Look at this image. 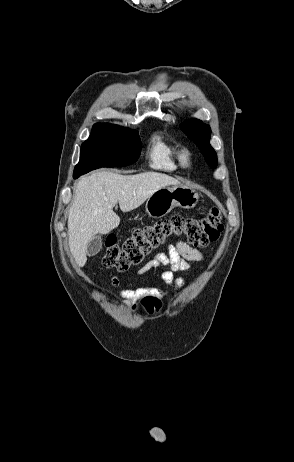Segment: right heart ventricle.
Returning <instances> with one entry per match:
<instances>
[{"instance_id": "right-heart-ventricle-1", "label": "right heart ventricle", "mask_w": 294, "mask_h": 462, "mask_svg": "<svg viewBox=\"0 0 294 462\" xmlns=\"http://www.w3.org/2000/svg\"><path fill=\"white\" fill-rule=\"evenodd\" d=\"M181 149L169 143L162 134H155L149 149V165L151 168L173 172L182 167Z\"/></svg>"}]
</instances>
